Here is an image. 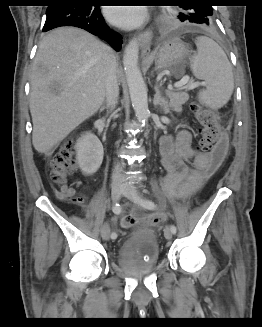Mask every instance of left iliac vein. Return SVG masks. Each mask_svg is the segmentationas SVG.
Here are the masks:
<instances>
[{
	"label": "left iliac vein",
	"instance_id": "obj_1",
	"mask_svg": "<svg viewBox=\"0 0 262 327\" xmlns=\"http://www.w3.org/2000/svg\"><path fill=\"white\" fill-rule=\"evenodd\" d=\"M122 194L132 200L134 203H139L138 199L141 197V194L133 185L124 184L122 187ZM172 234L173 233L168 227L164 229V236L167 240L172 238Z\"/></svg>",
	"mask_w": 262,
	"mask_h": 327
}]
</instances>
